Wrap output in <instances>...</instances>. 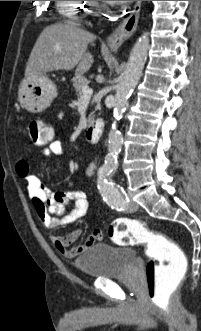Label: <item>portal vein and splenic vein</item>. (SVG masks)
<instances>
[{
    "instance_id": "portal-vein-and-splenic-vein-1",
    "label": "portal vein and splenic vein",
    "mask_w": 201,
    "mask_h": 331,
    "mask_svg": "<svg viewBox=\"0 0 201 331\" xmlns=\"http://www.w3.org/2000/svg\"><path fill=\"white\" fill-rule=\"evenodd\" d=\"M93 94V90L92 88H90L89 86H85L83 88V95H82V98H90Z\"/></svg>"
}]
</instances>
